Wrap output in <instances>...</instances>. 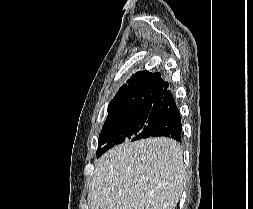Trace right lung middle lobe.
I'll use <instances>...</instances> for the list:
<instances>
[{
	"instance_id": "obj_1",
	"label": "right lung middle lobe",
	"mask_w": 253,
	"mask_h": 209,
	"mask_svg": "<svg viewBox=\"0 0 253 209\" xmlns=\"http://www.w3.org/2000/svg\"><path fill=\"white\" fill-rule=\"evenodd\" d=\"M158 115L152 107H143L105 122L98 139L97 157L116 144L141 139L140 133L150 129Z\"/></svg>"
}]
</instances>
